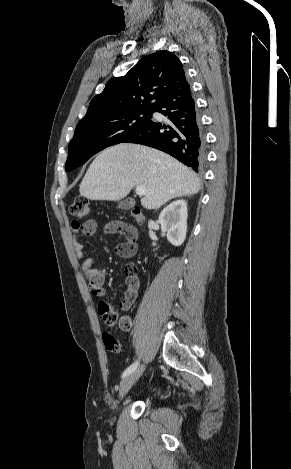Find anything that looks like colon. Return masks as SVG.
Returning a JSON list of instances; mask_svg holds the SVG:
<instances>
[{
    "label": "colon",
    "instance_id": "5ec220e1",
    "mask_svg": "<svg viewBox=\"0 0 291 469\" xmlns=\"http://www.w3.org/2000/svg\"><path fill=\"white\" fill-rule=\"evenodd\" d=\"M71 214L80 220H88L91 215V204L89 200L83 196H78L75 198L73 204L70 208ZM133 216L136 219L141 218V211L138 208L133 209ZM135 252V244L131 241L123 243L118 246V253L122 256L130 255ZM125 273L127 276V296L122 302L123 308H128L134 301V295L138 291L139 283L137 279V267L134 263H128L125 265ZM99 312L101 317L104 319L108 326H114L117 322L121 321V318H118L117 313L111 309L109 302L106 299L98 302ZM125 326H130L129 320L123 321ZM103 343L107 351L112 353H117L120 351V344L118 340L108 332L103 333L102 335Z\"/></svg>",
    "mask_w": 291,
    "mask_h": 469
}]
</instances>
